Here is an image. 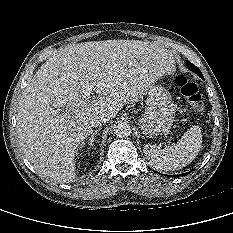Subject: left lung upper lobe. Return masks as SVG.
<instances>
[{
	"label": "left lung upper lobe",
	"mask_w": 233,
	"mask_h": 233,
	"mask_svg": "<svg viewBox=\"0 0 233 233\" xmlns=\"http://www.w3.org/2000/svg\"><path fill=\"white\" fill-rule=\"evenodd\" d=\"M186 64L190 68L191 71L195 72L200 78H203V75L198 67H196L194 64H192L189 61H186Z\"/></svg>",
	"instance_id": "5c2ea615"
}]
</instances>
